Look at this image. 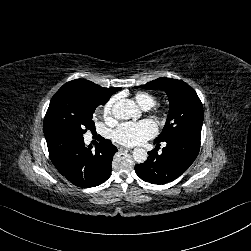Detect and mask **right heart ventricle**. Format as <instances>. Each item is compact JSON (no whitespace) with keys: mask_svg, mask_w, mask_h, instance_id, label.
Returning a JSON list of instances; mask_svg holds the SVG:
<instances>
[{"mask_svg":"<svg viewBox=\"0 0 251 251\" xmlns=\"http://www.w3.org/2000/svg\"><path fill=\"white\" fill-rule=\"evenodd\" d=\"M134 100L141 108L148 110L156 104V97L148 92H137Z\"/></svg>","mask_w":251,"mask_h":251,"instance_id":"right-heart-ventricle-1","label":"right heart ventricle"}]
</instances>
